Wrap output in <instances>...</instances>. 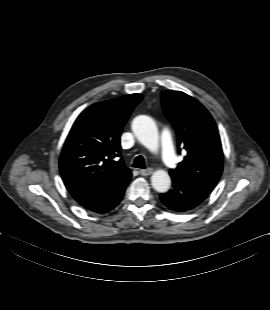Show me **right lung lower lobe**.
I'll list each match as a JSON object with an SVG mask.
<instances>
[{"mask_svg": "<svg viewBox=\"0 0 270 310\" xmlns=\"http://www.w3.org/2000/svg\"><path fill=\"white\" fill-rule=\"evenodd\" d=\"M131 176V172L126 173L103 190L79 198L76 201L87 210L96 213H107L121 201Z\"/></svg>", "mask_w": 270, "mask_h": 310, "instance_id": "98d812e1", "label": "right lung lower lobe"}]
</instances>
